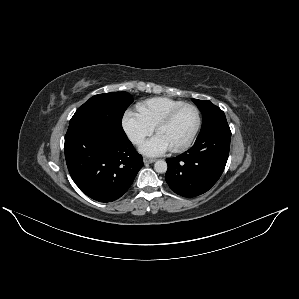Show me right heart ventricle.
<instances>
[{
  "mask_svg": "<svg viewBox=\"0 0 299 299\" xmlns=\"http://www.w3.org/2000/svg\"><path fill=\"white\" fill-rule=\"evenodd\" d=\"M183 104L185 103L171 98L155 97L138 103L137 110L142 118L155 128L170 111Z\"/></svg>",
  "mask_w": 299,
  "mask_h": 299,
  "instance_id": "obj_1",
  "label": "right heart ventricle"
}]
</instances>
